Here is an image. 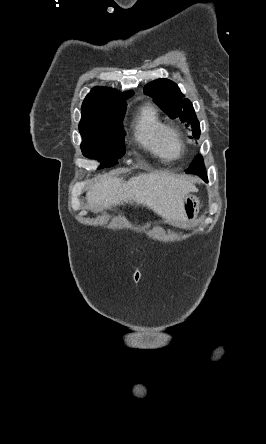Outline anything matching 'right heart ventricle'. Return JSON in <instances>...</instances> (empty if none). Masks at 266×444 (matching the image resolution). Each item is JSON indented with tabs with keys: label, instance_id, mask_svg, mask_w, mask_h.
I'll return each mask as SVG.
<instances>
[{
	"label": "right heart ventricle",
	"instance_id": "right-heart-ventricle-1",
	"mask_svg": "<svg viewBox=\"0 0 266 444\" xmlns=\"http://www.w3.org/2000/svg\"><path fill=\"white\" fill-rule=\"evenodd\" d=\"M163 125L160 114L151 104L139 109L133 123L134 137L139 146L160 158L167 157L159 144V131Z\"/></svg>",
	"mask_w": 266,
	"mask_h": 444
}]
</instances>
